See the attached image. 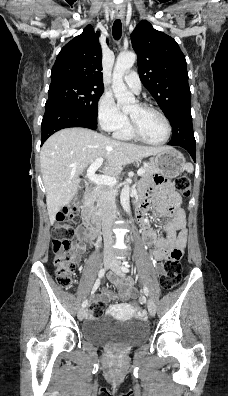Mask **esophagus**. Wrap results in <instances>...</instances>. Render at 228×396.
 Wrapping results in <instances>:
<instances>
[{
  "mask_svg": "<svg viewBox=\"0 0 228 396\" xmlns=\"http://www.w3.org/2000/svg\"><path fill=\"white\" fill-rule=\"evenodd\" d=\"M115 17H116L117 19H123V17H124V12H123V10L120 9V8H117V9L115 10Z\"/></svg>",
  "mask_w": 228,
  "mask_h": 396,
  "instance_id": "34e87169",
  "label": "esophagus"
}]
</instances>
